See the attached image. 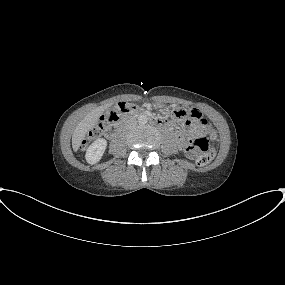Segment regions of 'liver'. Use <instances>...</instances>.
Returning a JSON list of instances; mask_svg holds the SVG:
<instances>
[{
    "label": "liver",
    "mask_w": 285,
    "mask_h": 285,
    "mask_svg": "<svg viewBox=\"0 0 285 285\" xmlns=\"http://www.w3.org/2000/svg\"><path fill=\"white\" fill-rule=\"evenodd\" d=\"M111 104H106L99 106L89 112L81 122L76 126L74 133L72 135V148L74 151H77L85 139L86 134L88 131L95 126L98 122L99 117L103 114V112L109 108Z\"/></svg>",
    "instance_id": "obj_1"
}]
</instances>
